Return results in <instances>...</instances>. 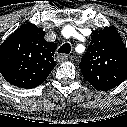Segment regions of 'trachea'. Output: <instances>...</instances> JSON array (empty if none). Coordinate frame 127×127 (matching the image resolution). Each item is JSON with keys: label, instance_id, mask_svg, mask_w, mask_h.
<instances>
[{"label": "trachea", "instance_id": "3493384b", "mask_svg": "<svg viewBox=\"0 0 127 127\" xmlns=\"http://www.w3.org/2000/svg\"><path fill=\"white\" fill-rule=\"evenodd\" d=\"M70 51H71V45H70L69 43L63 44V45L58 49V52H59V53L69 54Z\"/></svg>", "mask_w": 127, "mask_h": 127}]
</instances>
